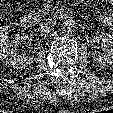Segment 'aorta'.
<instances>
[{"label": "aorta", "instance_id": "762f6f07", "mask_svg": "<svg viewBox=\"0 0 113 113\" xmlns=\"http://www.w3.org/2000/svg\"><path fill=\"white\" fill-rule=\"evenodd\" d=\"M77 28V23L73 19H67L61 25L62 32L68 35L76 32Z\"/></svg>", "mask_w": 113, "mask_h": 113}]
</instances>
